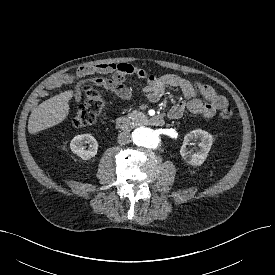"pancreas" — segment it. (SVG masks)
Instances as JSON below:
<instances>
[{"label":"pancreas","mask_w":275,"mask_h":275,"mask_svg":"<svg viewBox=\"0 0 275 275\" xmlns=\"http://www.w3.org/2000/svg\"><path fill=\"white\" fill-rule=\"evenodd\" d=\"M141 116H143V113L138 111V110H134V111H132L131 113L128 114V117L132 118V119H136V118L141 117Z\"/></svg>","instance_id":"obj_1"}]
</instances>
